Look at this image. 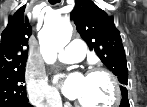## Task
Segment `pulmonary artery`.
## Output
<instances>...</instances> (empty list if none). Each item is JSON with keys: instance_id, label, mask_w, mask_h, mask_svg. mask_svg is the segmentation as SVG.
<instances>
[{"instance_id": "e3ab8cb5", "label": "pulmonary artery", "mask_w": 147, "mask_h": 107, "mask_svg": "<svg viewBox=\"0 0 147 107\" xmlns=\"http://www.w3.org/2000/svg\"><path fill=\"white\" fill-rule=\"evenodd\" d=\"M86 54V45L79 39L73 40L59 54V60L63 63H76L81 61Z\"/></svg>"}]
</instances>
